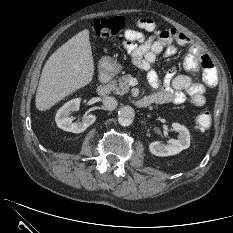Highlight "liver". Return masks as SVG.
I'll return each instance as SVG.
<instances>
[{"label": "liver", "mask_w": 233, "mask_h": 233, "mask_svg": "<svg viewBox=\"0 0 233 233\" xmlns=\"http://www.w3.org/2000/svg\"><path fill=\"white\" fill-rule=\"evenodd\" d=\"M93 75L89 31L83 30L58 48L45 63L36 92V108L40 111L50 109L89 84Z\"/></svg>", "instance_id": "1"}]
</instances>
